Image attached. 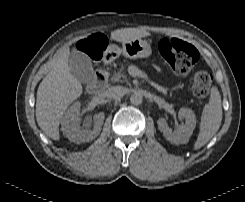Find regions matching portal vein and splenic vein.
<instances>
[{
    "instance_id": "portal-vein-and-splenic-vein-1",
    "label": "portal vein and splenic vein",
    "mask_w": 245,
    "mask_h": 202,
    "mask_svg": "<svg viewBox=\"0 0 245 202\" xmlns=\"http://www.w3.org/2000/svg\"><path fill=\"white\" fill-rule=\"evenodd\" d=\"M132 76L133 77H142L143 76V73H142V71L137 70V71H135V72L132 73Z\"/></svg>"
}]
</instances>
